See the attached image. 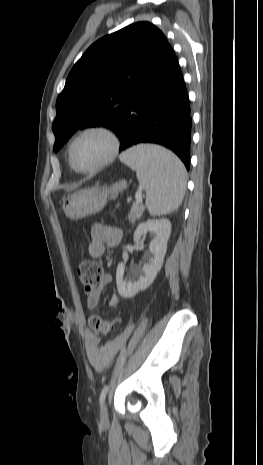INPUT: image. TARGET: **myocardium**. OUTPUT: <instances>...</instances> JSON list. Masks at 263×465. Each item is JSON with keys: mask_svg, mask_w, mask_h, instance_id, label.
<instances>
[{"mask_svg": "<svg viewBox=\"0 0 263 465\" xmlns=\"http://www.w3.org/2000/svg\"><path fill=\"white\" fill-rule=\"evenodd\" d=\"M88 133H101V134L105 135L110 141L111 148H110V152L107 155V157L105 159H103L95 167L90 168V169H81V168L77 167L75 165L74 161H73L72 149H73V146H74L75 142L79 138H81L82 136H84V135H86ZM119 149H120V139H119L117 133L113 129H111L110 127L104 126V125L88 126V127L83 128L82 130H80L78 133H76L74 135V137L71 139V141H70V143L68 145V149H67L68 162H69L70 167L77 173H80V174H93V173H96V172L102 170L103 168H105L109 164H111L116 159V157H117V155L119 153Z\"/></svg>", "mask_w": 263, "mask_h": 465, "instance_id": "f54148a6", "label": "myocardium"}]
</instances>
